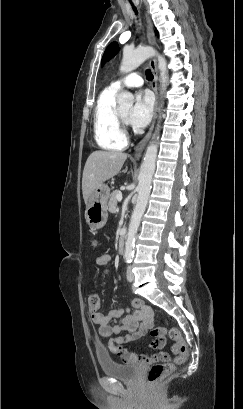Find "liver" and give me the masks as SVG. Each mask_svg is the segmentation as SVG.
Instances as JSON below:
<instances>
[{"mask_svg":"<svg viewBox=\"0 0 243 409\" xmlns=\"http://www.w3.org/2000/svg\"><path fill=\"white\" fill-rule=\"evenodd\" d=\"M126 159L127 154L118 151H94L89 155L82 177V192L86 205L95 190L118 174Z\"/></svg>","mask_w":243,"mask_h":409,"instance_id":"liver-1","label":"liver"}]
</instances>
